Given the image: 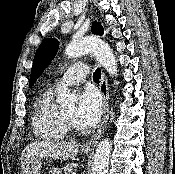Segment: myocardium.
Returning a JSON list of instances; mask_svg holds the SVG:
<instances>
[{"label":"myocardium","mask_w":175,"mask_h":174,"mask_svg":"<svg viewBox=\"0 0 175 174\" xmlns=\"http://www.w3.org/2000/svg\"><path fill=\"white\" fill-rule=\"evenodd\" d=\"M61 115L66 130L70 131L71 133H78L79 129L76 127L75 123L70 118H68L63 112H61Z\"/></svg>","instance_id":"f54148a6"}]
</instances>
